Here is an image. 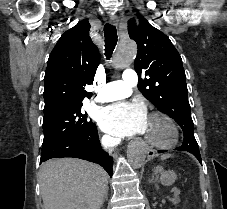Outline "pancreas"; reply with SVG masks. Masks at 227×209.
Instances as JSON below:
<instances>
[{"label":"pancreas","mask_w":227,"mask_h":209,"mask_svg":"<svg viewBox=\"0 0 227 209\" xmlns=\"http://www.w3.org/2000/svg\"><path fill=\"white\" fill-rule=\"evenodd\" d=\"M170 202H171L172 204H174L176 201H175L174 199H172Z\"/></svg>","instance_id":"pancreas-1"}]
</instances>
